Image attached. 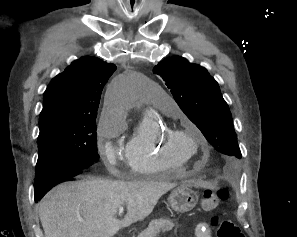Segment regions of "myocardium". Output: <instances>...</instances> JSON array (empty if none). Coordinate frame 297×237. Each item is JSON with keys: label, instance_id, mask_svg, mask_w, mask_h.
Listing matches in <instances>:
<instances>
[{"label": "myocardium", "instance_id": "f54148a6", "mask_svg": "<svg viewBox=\"0 0 297 237\" xmlns=\"http://www.w3.org/2000/svg\"><path fill=\"white\" fill-rule=\"evenodd\" d=\"M161 142L167 151L179 155L187 161L200 152L198 137L185 130L168 129L163 132ZM184 142H190L193 145V152L187 153L184 151L182 147Z\"/></svg>", "mask_w": 297, "mask_h": 237}]
</instances>
